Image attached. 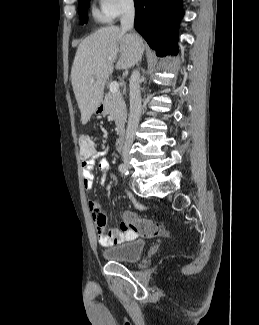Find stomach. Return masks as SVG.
<instances>
[{
    "mask_svg": "<svg viewBox=\"0 0 259 325\" xmlns=\"http://www.w3.org/2000/svg\"><path fill=\"white\" fill-rule=\"evenodd\" d=\"M94 113L97 114V115H104V114H106V106H105V103L103 101H101L98 104V106L96 107Z\"/></svg>",
    "mask_w": 259,
    "mask_h": 325,
    "instance_id": "0dacf381",
    "label": "stomach"
}]
</instances>
